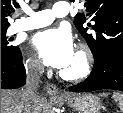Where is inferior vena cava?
Returning a JSON list of instances; mask_svg holds the SVG:
<instances>
[{"mask_svg":"<svg viewBox=\"0 0 123 113\" xmlns=\"http://www.w3.org/2000/svg\"><path fill=\"white\" fill-rule=\"evenodd\" d=\"M43 73V65L38 62H31L26 67V85L23 92L24 113H35L33 105L38 97L37 88L40 76Z\"/></svg>","mask_w":123,"mask_h":113,"instance_id":"1","label":"inferior vena cava"}]
</instances>
